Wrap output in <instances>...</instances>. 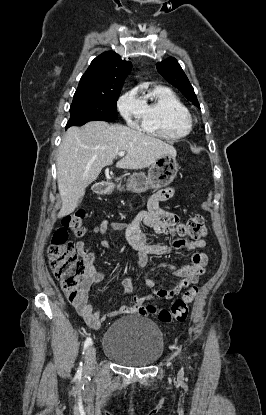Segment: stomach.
<instances>
[{
    "instance_id": "0dacf381",
    "label": "stomach",
    "mask_w": 266,
    "mask_h": 415,
    "mask_svg": "<svg viewBox=\"0 0 266 415\" xmlns=\"http://www.w3.org/2000/svg\"><path fill=\"white\" fill-rule=\"evenodd\" d=\"M178 164L172 155H163L158 158L149 168L148 175L142 173L134 174L130 179L133 183L134 192H144L149 188H162L168 186L176 177ZM109 187L106 193H111Z\"/></svg>"
}]
</instances>
